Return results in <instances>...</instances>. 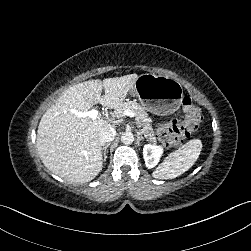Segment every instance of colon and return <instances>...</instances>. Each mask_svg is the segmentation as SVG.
<instances>
[{"label":"colon","instance_id":"obj_1","mask_svg":"<svg viewBox=\"0 0 251 251\" xmlns=\"http://www.w3.org/2000/svg\"><path fill=\"white\" fill-rule=\"evenodd\" d=\"M183 118L174 119L161 124L157 128L158 139L168 147L180 146L193 132H195L201 121L200 109L189 97L182 100Z\"/></svg>","mask_w":251,"mask_h":251}]
</instances>
